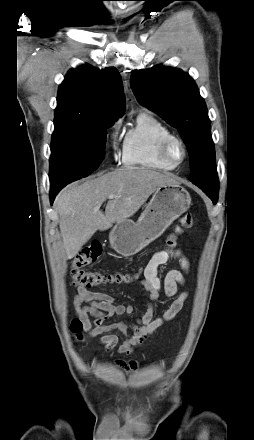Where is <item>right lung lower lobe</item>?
<instances>
[{
	"label": "right lung lower lobe",
	"instance_id": "98d812e1",
	"mask_svg": "<svg viewBox=\"0 0 254 440\" xmlns=\"http://www.w3.org/2000/svg\"><path fill=\"white\" fill-rule=\"evenodd\" d=\"M66 184L63 183V184H58V185L56 184L54 186H51V189H50V201H51V204L53 203V200H54L57 192Z\"/></svg>",
	"mask_w": 254,
	"mask_h": 440
}]
</instances>
